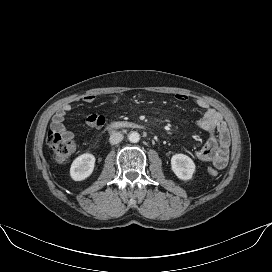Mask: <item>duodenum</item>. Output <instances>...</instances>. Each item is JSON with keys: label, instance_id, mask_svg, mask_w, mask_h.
Instances as JSON below:
<instances>
[{"label": "duodenum", "instance_id": "duodenum-1", "mask_svg": "<svg viewBox=\"0 0 272 272\" xmlns=\"http://www.w3.org/2000/svg\"><path fill=\"white\" fill-rule=\"evenodd\" d=\"M141 126L139 124L133 123V122H127V121H115L109 124L108 129L109 130H117L121 128H140Z\"/></svg>", "mask_w": 272, "mask_h": 272}]
</instances>
